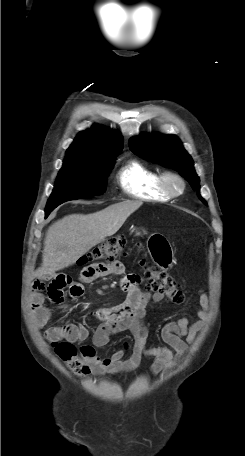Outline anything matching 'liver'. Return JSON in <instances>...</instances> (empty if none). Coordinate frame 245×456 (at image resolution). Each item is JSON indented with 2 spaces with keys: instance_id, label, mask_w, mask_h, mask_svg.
Segmentation results:
<instances>
[{
  "instance_id": "liver-1",
  "label": "liver",
  "mask_w": 245,
  "mask_h": 456,
  "mask_svg": "<svg viewBox=\"0 0 245 456\" xmlns=\"http://www.w3.org/2000/svg\"><path fill=\"white\" fill-rule=\"evenodd\" d=\"M142 204V201L127 200L92 214H71L53 223L46 232L42 266L34 277L76 263L91 248L114 235Z\"/></svg>"
}]
</instances>
